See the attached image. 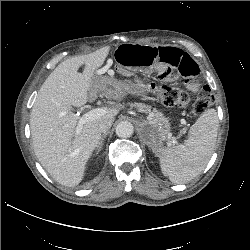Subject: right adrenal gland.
Segmentation results:
<instances>
[{
    "label": "right adrenal gland",
    "mask_w": 250,
    "mask_h": 250,
    "mask_svg": "<svg viewBox=\"0 0 250 250\" xmlns=\"http://www.w3.org/2000/svg\"><path fill=\"white\" fill-rule=\"evenodd\" d=\"M107 135H108V133H104L101 135L100 141H99L98 145L96 146V154H98L101 151L102 146H103V141Z\"/></svg>",
    "instance_id": "2a0ac1e0"
}]
</instances>
